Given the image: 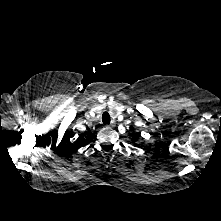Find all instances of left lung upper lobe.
<instances>
[{"label": "left lung upper lobe", "mask_w": 221, "mask_h": 221, "mask_svg": "<svg viewBox=\"0 0 221 221\" xmlns=\"http://www.w3.org/2000/svg\"><path fill=\"white\" fill-rule=\"evenodd\" d=\"M137 138H138L137 135L134 134V135H133V140H137Z\"/></svg>", "instance_id": "5c2ea615"}]
</instances>
